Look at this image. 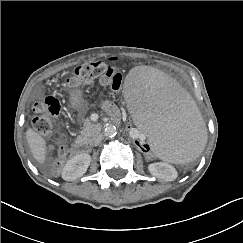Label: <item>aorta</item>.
I'll list each match as a JSON object with an SVG mask.
<instances>
[{"label":"aorta","mask_w":243,"mask_h":243,"mask_svg":"<svg viewBox=\"0 0 243 243\" xmlns=\"http://www.w3.org/2000/svg\"><path fill=\"white\" fill-rule=\"evenodd\" d=\"M103 133L106 137H114L117 134V128L113 124H107L104 127Z\"/></svg>","instance_id":"obj_1"}]
</instances>
